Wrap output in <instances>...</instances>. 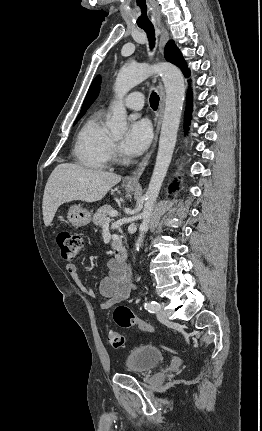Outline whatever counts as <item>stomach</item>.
<instances>
[{"instance_id":"1","label":"stomach","mask_w":262,"mask_h":431,"mask_svg":"<svg viewBox=\"0 0 262 431\" xmlns=\"http://www.w3.org/2000/svg\"><path fill=\"white\" fill-rule=\"evenodd\" d=\"M125 190L128 193H131L135 190V187L125 186ZM68 221L76 227L85 226L91 221V214L86 209L81 207L80 205H72L70 206L67 214Z\"/></svg>"}]
</instances>
